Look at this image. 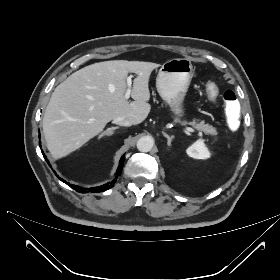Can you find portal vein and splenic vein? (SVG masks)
<instances>
[{
    "mask_svg": "<svg viewBox=\"0 0 280 280\" xmlns=\"http://www.w3.org/2000/svg\"><path fill=\"white\" fill-rule=\"evenodd\" d=\"M127 84H128V88L125 92V99H128L130 97L131 94V78H127ZM185 129L189 132H195V130L191 127H185Z\"/></svg>",
    "mask_w": 280,
    "mask_h": 280,
    "instance_id": "obj_1",
    "label": "portal vein and splenic vein"
}]
</instances>
